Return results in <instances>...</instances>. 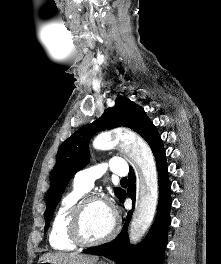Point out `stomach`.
I'll return each instance as SVG.
<instances>
[{
    "label": "stomach",
    "mask_w": 221,
    "mask_h": 264,
    "mask_svg": "<svg viewBox=\"0 0 221 264\" xmlns=\"http://www.w3.org/2000/svg\"><path fill=\"white\" fill-rule=\"evenodd\" d=\"M39 264H53V263H51V262H47V261H40ZM99 264H106V263H105V262H101V263H99Z\"/></svg>",
    "instance_id": "0dacf381"
}]
</instances>
